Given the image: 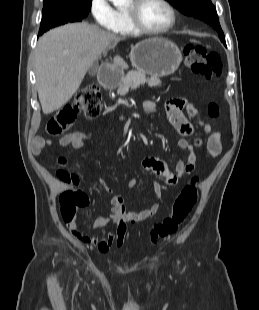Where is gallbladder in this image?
<instances>
[{"instance_id": "gallbladder-1", "label": "gallbladder", "mask_w": 259, "mask_h": 310, "mask_svg": "<svg viewBox=\"0 0 259 310\" xmlns=\"http://www.w3.org/2000/svg\"><path fill=\"white\" fill-rule=\"evenodd\" d=\"M94 66H95V68H96V67H97V64H95ZM92 76H93V75H92Z\"/></svg>"}]
</instances>
